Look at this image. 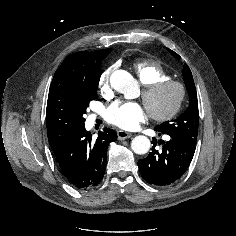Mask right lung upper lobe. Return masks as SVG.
<instances>
[{
	"label": "right lung upper lobe",
	"instance_id": "cb5924a9",
	"mask_svg": "<svg viewBox=\"0 0 236 236\" xmlns=\"http://www.w3.org/2000/svg\"><path fill=\"white\" fill-rule=\"evenodd\" d=\"M95 52H78L68 56L53 77L48 95L46 125L49 144L55 155L80 127L75 86L92 65Z\"/></svg>",
	"mask_w": 236,
	"mask_h": 236
}]
</instances>
